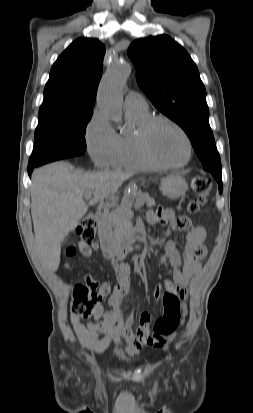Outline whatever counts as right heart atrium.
<instances>
[{"mask_svg": "<svg viewBox=\"0 0 253 413\" xmlns=\"http://www.w3.org/2000/svg\"><path fill=\"white\" fill-rule=\"evenodd\" d=\"M89 156L95 166L105 168L111 165L118 145V134L106 116L95 111L85 132Z\"/></svg>", "mask_w": 253, "mask_h": 413, "instance_id": "d8ad5b80", "label": "right heart atrium"}]
</instances>
